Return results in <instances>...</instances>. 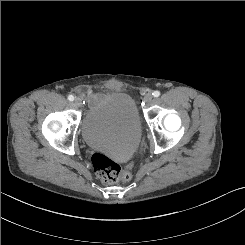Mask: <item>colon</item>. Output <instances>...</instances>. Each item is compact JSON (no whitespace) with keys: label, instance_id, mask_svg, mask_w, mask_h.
<instances>
[{"label":"colon","instance_id":"colon-1","mask_svg":"<svg viewBox=\"0 0 245 245\" xmlns=\"http://www.w3.org/2000/svg\"><path fill=\"white\" fill-rule=\"evenodd\" d=\"M92 165L96 175L106 183L131 179V173L128 170H122L116 162L104 154L95 153L92 156Z\"/></svg>","mask_w":245,"mask_h":245}]
</instances>
